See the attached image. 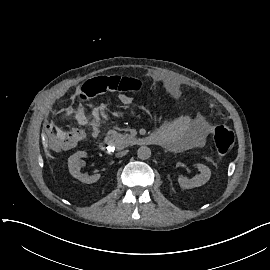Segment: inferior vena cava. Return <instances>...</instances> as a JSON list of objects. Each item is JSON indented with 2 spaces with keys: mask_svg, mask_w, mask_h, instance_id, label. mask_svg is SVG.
I'll return each mask as SVG.
<instances>
[{
  "mask_svg": "<svg viewBox=\"0 0 270 270\" xmlns=\"http://www.w3.org/2000/svg\"><path fill=\"white\" fill-rule=\"evenodd\" d=\"M128 152H129L128 150H124V151H122V152H119V153L116 154V157H123V156H125Z\"/></svg>",
  "mask_w": 270,
  "mask_h": 270,
  "instance_id": "602c4592",
  "label": "inferior vena cava"
}]
</instances>
